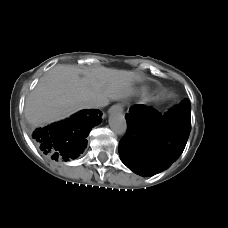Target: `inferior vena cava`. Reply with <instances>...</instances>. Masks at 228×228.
I'll return each mask as SVG.
<instances>
[{
  "instance_id": "602c4592",
  "label": "inferior vena cava",
  "mask_w": 228,
  "mask_h": 228,
  "mask_svg": "<svg viewBox=\"0 0 228 228\" xmlns=\"http://www.w3.org/2000/svg\"><path fill=\"white\" fill-rule=\"evenodd\" d=\"M103 106H105V102L99 99H90L85 103L86 108H99Z\"/></svg>"
}]
</instances>
